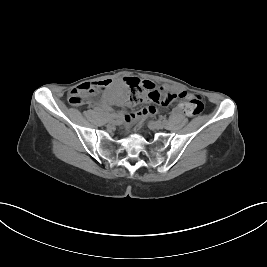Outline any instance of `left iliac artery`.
<instances>
[{"instance_id": "left-iliac-artery-1", "label": "left iliac artery", "mask_w": 267, "mask_h": 267, "mask_svg": "<svg viewBox=\"0 0 267 267\" xmlns=\"http://www.w3.org/2000/svg\"><path fill=\"white\" fill-rule=\"evenodd\" d=\"M161 120H162L164 123L167 122V119H166V118H162Z\"/></svg>"}]
</instances>
